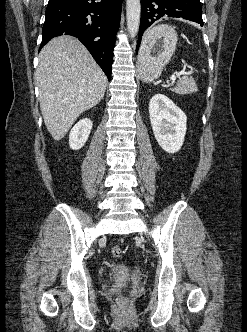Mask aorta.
Wrapping results in <instances>:
<instances>
[{
    "instance_id": "aorta-1",
    "label": "aorta",
    "mask_w": 247,
    "mask_h": 332,
    "mask_svg": "<svg viewBox=\"0 0 247 332\" xmlns=\"http://www.w3.org/2000/svg\"><path fill=\"white\" fill-rule=\"evenodd\" d=\"M140 0H127L126 17H127V30L131 38H134L139 30L140 24Z\"/></svg>"
}]
</instances>
